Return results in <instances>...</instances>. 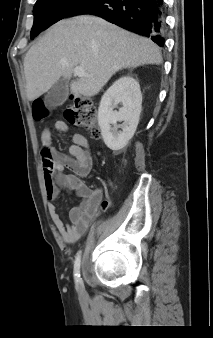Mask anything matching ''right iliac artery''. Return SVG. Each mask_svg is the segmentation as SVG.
I'll list each match as a JSON object with an SVG mask.
<instances>
[{
	"mask_svg": "<svg viewBox=\"0 0 213 338\" xmlns=\"http://www.w3.org/2000/svg\"><path fill=\"white\" fill-rule=\"evenodd\" d=\"M80 263H81V254L78 253L74 262V278L77 284L81 282Z\"/></svg>",
	"mask_w": 213,
	"mask_h": 338,
	"instance_id": "1",
	"label": "right iliac artery"
}]
</instances>
